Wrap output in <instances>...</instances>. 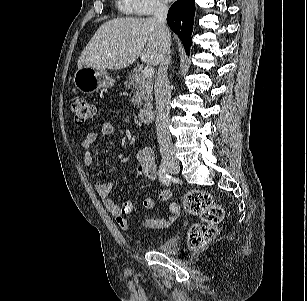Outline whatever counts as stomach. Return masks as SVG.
Listing matches in <instances>:
<instances>
[{"mask_svg": "<svg viewBox=\"0 0 307 301\" xmlns=\"http://www.w3.org/2000/svg\"><path fill=\"white\" fill-rule=\"evenodd\" d=\"M73 82L81 92L94 93L101 88L113 86L115 80L110 77L106 69L83 67L75 72Z\"/></svg>", "mask_w": 307, "mask_h": 301, "instance_id": "0dacf381", "label": "stomach"}]
</instances>
